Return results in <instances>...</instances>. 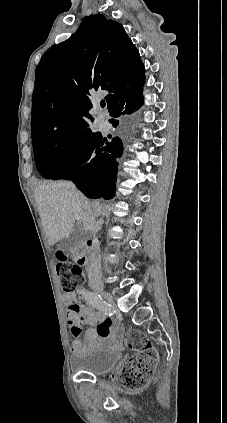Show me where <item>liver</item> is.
Masks as SVG:
<instances>
[{
	"mask_svg": "<svg viewBox=\"0 0 227 423\" xmlns=\"http://www.w3.org/2000/svg\"><path fill=\"white\" fill-rule=\"evenodd\" d=\"M37 210L50 245H55L73 231L75 221L84 223L83 200L85 196L72 182L39 184L34 192ZM92 229H96L92 225Z\"/></svg>",
	"mask_w": 227,
	"mask_h": 423,
	"instance_id": "1",
	"label": "liver"
}]
</instances>
